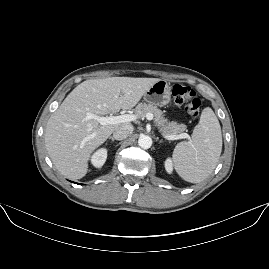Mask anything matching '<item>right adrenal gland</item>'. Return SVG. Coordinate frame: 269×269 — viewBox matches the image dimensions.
Returning <instances> with one entry per match:
<instances>
[{
  "instance_id": "right-adrenal-gland-1",
  "label": "right adrenal gland",
  "mask_w": 269,
  "mask_h": 269,
  "mask_svg": "<svg viewBox=\"0 0 269 269\" xmlns=\"http://www.w3.org/2000/svg\"><path fill=\"white\" fill-rule=\"evenodd\" d=\"M109 141L115 142V139L113 137L108 138Z\"/></svg>"
}]
</instances>
